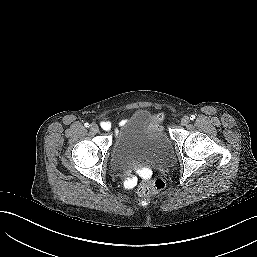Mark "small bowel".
<instances>
[{"instance_id":"small-bowel-1","label":"small bowel","mask_w":257,"mask_h":257,"mask_svg":"<svg viewBox=\"0 0 257 257\" xmlns=\"http://www.w3.org/2000/svg\"><path fill=\"white\" fill-rule=\"evenodd\" d=\"M104 127H108V124L107 123H103Z\"/></svg>"}]
</instances>
